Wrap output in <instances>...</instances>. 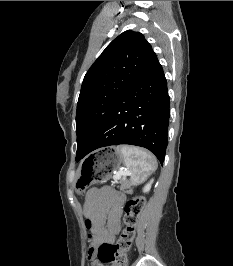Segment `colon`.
Wrapping results in <instances>:
<instances>
[{
    "label": "colon",
    "instance_id": "obj_1",
    "mask_svg": "<svg viewBox=\"0 0 233 266\" xmlns=\"http://www.w3.org/2000/svg\"><path fill=\"white\" fill-rule=\"evenodd\" d=\"M144 204L145 198L143 196H137L127 201L123 218L124 227L121 234L115 243L101 244L97 248L99 263L94 266H108L111 263H113L112 266H127V253L135 237L136 225ZM86 224L89 226V220Z\"/></svg>",
    "mask_w": 233,
    "mask_h": 266
}]
</instances>
